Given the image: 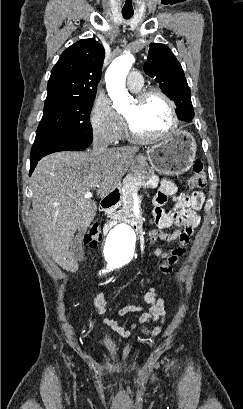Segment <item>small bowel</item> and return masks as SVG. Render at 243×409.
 <instances>
[{
    "label": "small bowel",
    "mask_w": 243,
    "mask_h": 409,
    "mask_svg": "<svg viewBox=\"0 0 243 409\" xmlns=\"http://www.w3.org/2000/svg\"><path fill=\"white\" fill-rule=\"evenodd\" d=\"M176 193L177 186L171 181L163 180L153 200L154 207L152 214L158 230H155L151 234V240L162 239L166 241H177V246L172 249L165 250L160 248L154 252L156 257L162 259L159 265V271L164 274H171L174 266L186 253V245L189 243L194 229L200 224V217L196 211L202 207L204 200V195L201 192L182 194L178 197L173 208L166 210L165 205L168 199ZM174 226L179 229L172 233L163 232V230ZM145 283L149 286V289L144 296V300L150 305V308L147 313L139 317L136 323L131 325L130 329L122 327L117 318L105 317L102 319V322L117 332L121 338L130 337L133 332L137 331L140 325H150L143 331L149 338L156 336L161 331V326L158 325V323L161 322L165 314L164 300L158 295L157 289L150 286L149 277L145 278ZM94 308L99 314H104L106 310H110L118 316L143 310L142 306L136 305L111 308L108 306L102 294H98L95 297Z\"/></svg>",
    "instance_id": "1"
}]
</instances>
